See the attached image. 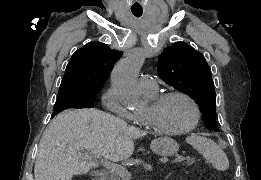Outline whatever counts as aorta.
Segmentation results:
<instances>
[{"mask_svg":"<svg viewBox=\"0 0 261 180\" xmlns=\"http://www.w3.org/2000/svg\"><path fill=\"white\" fill-rule=\"evenodd\" d=\"M143 61V52L135 51L118 62L111 73L112 86L119 101L126 107L139 108L143 104L137 87Z\"/></svg>","mask_w":261,"mask_h":180,"instance_id":"aorta-1","label":"aorta"}]
</instances>
